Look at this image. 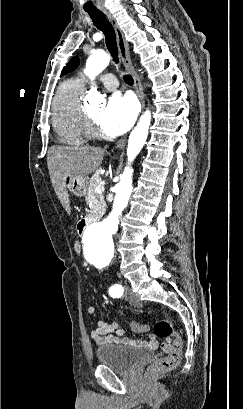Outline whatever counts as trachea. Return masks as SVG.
<instances>
[{
    "label": "trachea",
    "mask_w": 243,
    "mask_h": 409,
    "mask_svg": "<svg viewBox=\"0 0 243 409\" xmlns=\"http://www.w3.org/2000/svg\"><path fill=\"white\" fill-rule=\"evenodd\" d=\"M89 16L91 17L94 25L104 33L106 46L109 52L111 53L113 60L117 63L118 62V48L116 44V34L113 26L106 18L105 14L101 11H92L88 12ZM125 83L128 85H133L134 80L131 75H124L123 76Z\"/></svg>",
    "instance_id": "3493384b"
}]
</instances>
